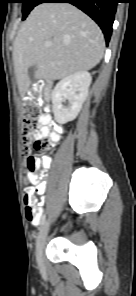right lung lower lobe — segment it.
Masks as SVG:
<instances>
[{
    "label": "right lung lower lobe",
    "mask_w": 136,
    "mask_h": 296,
    "mask_svg": "<svg viewBox=\"0 0 136 296\" xmlns=\"http://www.w3.org/2000/svg\"><path fill=\"white\" fill-rule=\"evenodd\" d=\"M119 0H42L41 3H71L89 15L102 29L108 44Z\"/></svg>",
    "instance_id": "98d812e1"
}]
</instances>
